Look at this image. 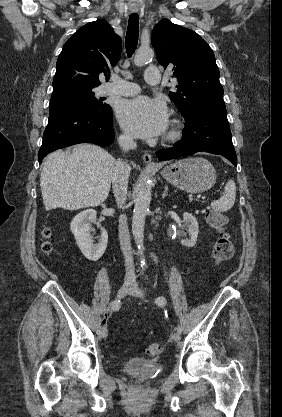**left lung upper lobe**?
<instances>
[{"label":"left lung upper lobe","instance_id":"obj_1","mask_svg":"<svg viewBox=\"0 0 282 417\" xmlns=\"http://www.w3.org/2000/svg\"><path fill=\"white\" fill-rule=\"evenodd\" d=\"M158 62L170 68L178 81L171 100L185 117L189 108L202 100H222L219 70L208 43L194 31L162 19L151 35Z\"/></svg>","mask_w":282,"mask_h":417}]
</instances>
